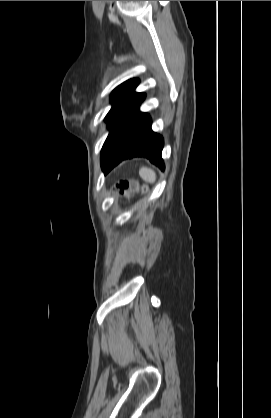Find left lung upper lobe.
<instances>
[{"label":"left lung upper lobe","instance_id":"5c2ea615","mask_svg":"<svg viewBox=\"0 0 271 418\" xmlns=\"http://www.w3.org/2000/svg\"><path fill=\"white\" fill-rule=\"evenodd\" d=\"M139 84L138 79L128 80L111 93L112 108L105 120L108 123L110 133L112 130L145 98L144 93H135V88Z\"/></svg>","mask_w":271,"mask_h":418}]
</instances>
